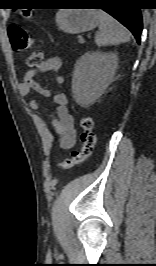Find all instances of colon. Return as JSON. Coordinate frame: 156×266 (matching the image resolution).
<instances>
[{
  "mask_svg": "<svg viewBox=\"0 0 156 266\" xmlns=\"http://www.w3.org/2000/svg\"><path fill=\"white\" fill-rule=\"evenodd\" d=\"M23 16L26 19H30L32 14L30 11H24ZM8 36L11 46L15 51H25L33 47V38L20 26L11 25L8 28ZM43 60L44 56L42 51L36 49L27 58V65L31 68L37 67L43 63ZM80 125L82 128V147L80 150L72 152L71 157L57 163V166L61 169H69L81 164L93 153L96 142V136L93 132V120L90 117L83 116L80 119Z\"/></svg>",
  "mask_w": 156,
  "mask_h": 266,
  "instance_id": "1",
  "label": "colon"
}]
</instances>
